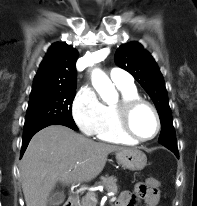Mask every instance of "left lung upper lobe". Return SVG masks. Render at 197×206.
<instances>
[{"instance_id":"obj_1","label":"left lung upper lobe","mask_w":197,"mask_h":206,"mask_svg":"<svg viewBox=\"0 0 197 206\" xmlns=\"http://www.w3.org/2000/svg\"><path fill=\"white\" fill-rule=\"evenodd\" d=\"M116 64L128 71L153 100L161 121L159 143L177 145L171 109L163 76L153 57L137 42L120 46L115 53Z\"/></svg>"}]
</instances>
